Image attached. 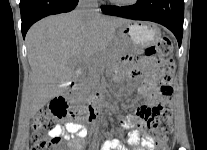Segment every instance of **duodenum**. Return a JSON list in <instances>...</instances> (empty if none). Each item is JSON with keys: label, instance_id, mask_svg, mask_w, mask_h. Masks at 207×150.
Wrapping results in <instances>:
<instances>
[{"label": "duodenum", "instance_id": "410a0bca", "mask_svg": "<svg viewBox=\"0 0 207 150\" xmlns=\"http://www.w3.org/2000/svg\"><path fill=\"white\" fill-rule=\"evenodd\" d=\"M78 91V85L76 83H72L69 87V93L71 95L75 94ZM103 100V92H96L89 100V104L86 107L76 108L75 111L70 112L71 116L77 118L78 116H85L94 118L97 112L98 107L100 106Z\"/></svg>", "mask_w": 207, "mask_h": 150}]
</instances>
